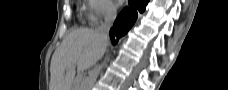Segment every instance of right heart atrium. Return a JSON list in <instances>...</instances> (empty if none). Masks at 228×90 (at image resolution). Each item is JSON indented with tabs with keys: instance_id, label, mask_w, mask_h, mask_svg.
<instances>
[{
	"instance_id": "1",
	"label": "right heart atrium",
	"mask_w": 228,
	"mask_h": 90,
	"mask_svg": "<svg viewBox=\"0 0 228 90\" xmlns=\"http://www.w3.org/2000/svg\"><path fill=\"white\" fill-rule=\"evenodd\" d=\"M89 18L93 23L112 17L116 8L110 0H89Z\"/></svg>"
}]
</instances>
